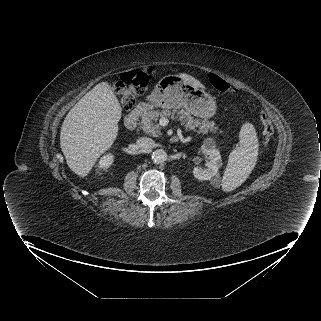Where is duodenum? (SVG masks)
Instances as JSON below:
<instances>
[{
	"mask_svg": "<svg viewBox=\"0 0 321 321\" xmlns=\"http://www.w3.org/2000/svg\"><path fill=\"white\" fill-rule=\"evenodd\" d=\"M147 105L145 103H139L126 117L125 125L128 129H134L138 123L139 117Z\"/></svg>",
	"mask_w": 321,
	"mask_h": 321,
	"instance_id": "1",
	"label": "duodenum"
}]
</instances>
